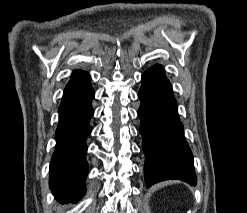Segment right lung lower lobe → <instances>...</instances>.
I'll list each match as a JSON object with an SVG mask.
<instances>
[{
	"instance_id": "98d812e1",
	"label": "right lung lower lobe",
	"mask_w": 247,
	"mask_h": 213,
	"mask_svg": "<svg viewBox=\"0 0 247 213\" xmlns=\"http://www.w3.org/2000/svg\"><path fill=\"white\" fill-rule=\"evenodd\" d=\"M93 98L90 75L81 70L74 71L59 107L57 146L50 164V188L55 198L63 203L77 201L85 193L86 138L91 132Z\"/></svg>"
}]
</instances>
